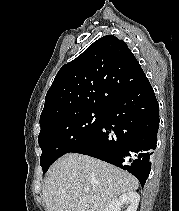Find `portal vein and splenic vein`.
<instances>
[{"label": "portal vein and splenic vein", "mask_w": 179, "mask_h": 211, "mask_svg": "<svg viewBox=\"0 0 179 211\" xmlns=\"http://www.w3.org/2000/svg\"><path fill=\"white\" fill-rule=\"evenodd\" d=\"M80 202L81 203H85L86 202V199H80Z\"/></svg>", "instance_id": "18ae733b"}]
</instances>
